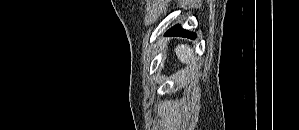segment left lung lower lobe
Returning a JSON list of instances; mask_svg holds the SVG:
<instances>
[{"label": "left lung lower lobe", "mask_w": 299, "mask_h": 130, "mask_svg": "<svg viewBox=\"0 0 299 130\" xmlns=\"http://www.w3.org/2000/svg\"><path fill=\"white\" fill-rule=\"evenodd\" d=\"M165 35L166 36H182V37H187L190 39L196 38V34L194 32H189L187 30H184V29L180 28L179 25L172 27L170 30L167 31V33Z\"/></svg>", "instance_id": "obj_1"}]
</instances>
